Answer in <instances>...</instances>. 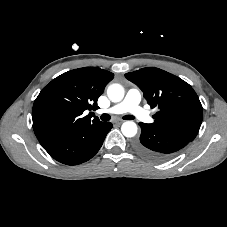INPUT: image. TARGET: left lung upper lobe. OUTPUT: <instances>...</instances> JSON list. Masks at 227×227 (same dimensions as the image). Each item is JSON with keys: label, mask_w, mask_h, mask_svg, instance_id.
Instances as JSON below:
<instances>
[{"label": "left lung upper lobe", "mask_w": 227, "mask_h": 227, "mask_svg": "<svg viewBox=\"0 0 227 227\" xmlns=\"http://www.w3.org/2000/svg\"><path fill=\"white\" fill-rule=\"evenodd\" d=\"M144 93L158 112L150 127L172 131L194 140L200 129L203 109L193 88L179 77L154 67L125 74Z\"/></svg>", "instance_id": "obj_1"}]
</instances>
